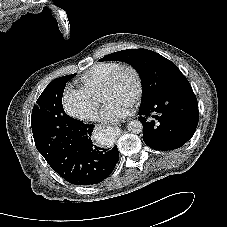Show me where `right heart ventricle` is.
Masks as SVG:
<instances>
[{"instance_id": "1", "label": "right heart ventricle", "mask_w": 227, "mask_h": 227, "mask_svg": "<svg viewBox=\"0 0 227 227\" xmlns=\"http://www.w3.org/2000/svg\"><path fill=\"white\" fill-rule=\"evenodd\" d=\"M121 65L117 61H101L93 64L76 80L79 89L91 95L98 93L108 77Z\"/></svg>"}]
</instances>
